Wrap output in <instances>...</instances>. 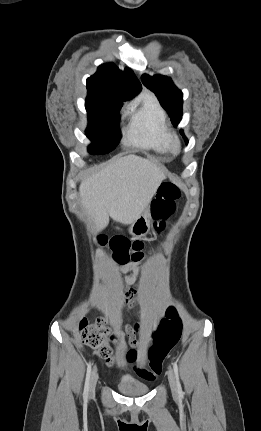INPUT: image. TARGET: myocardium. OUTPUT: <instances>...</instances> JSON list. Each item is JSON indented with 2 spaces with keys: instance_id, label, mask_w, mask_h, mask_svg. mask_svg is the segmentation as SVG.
I'll list each match as a JSON object with an SVG mask.
<instances>
[{
  "instance_id": "obj_1",
  "label": "myocardium",
  "mask_w": 261,
  "mask_h": 431,
  "mask_svg": "<svg viewBox=\"0 0 261 431\" xmlns=\"http://www.w3.org/2000/svg\"><path fill=\"white\" fill-rule=\"evenodd\" d=\"M168 148L173 154H179L182 148V142L180 137L174 133L170 132L168 138Z\"/></svg>"
}]
</instances>
